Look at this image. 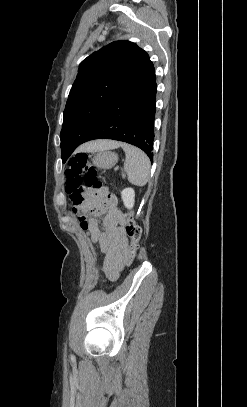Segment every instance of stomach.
<instances>
[{"label":"stomach","mask_w":247,"mask_h":407,"mask_svg":"<svg viewBox=\"0 0 247 407\" xmlns=\"http://www.w3.org/2000/svg\"><path fill=\"white\" fill-rule=\"evenodd\" d=\"M118 162V155L115 152L104 150L99 151L92 158V163L99 169H111Z\"/></svg>","instance_id":"0dacf381"}]
</instances>
